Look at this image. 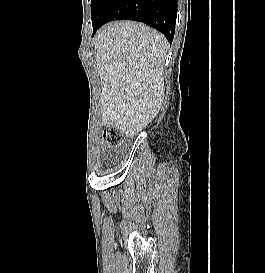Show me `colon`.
<instances>
[{"label":"colon","instance_id":"obj_1","mask_svg":"<svg viewBox=\"0 0 265 273\" xmlns=\"http://www.w3.org/2000/svg\"><path fill=\"white\" fill-rule=\"evenodd\" d=\"M124 133L113 126H108L104 130V141L106 147L111 150H116L123 142Z\"/></svg>","mask_w":265,"mask_h":273}]
</instances>
